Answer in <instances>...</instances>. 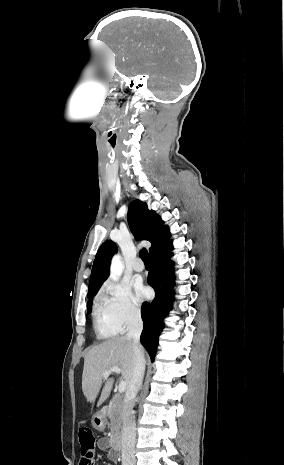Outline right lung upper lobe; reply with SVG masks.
Listing matches in <instances>:
<instances>
[{"instance_id":"cb5924a9","label":"right lung upper lobe","mask_w":284,"mask_h":465,"mask_svg":"<svg viewBox=\"0 0 284 465\" xmlns=\"http://www.w3.org/2000/svg\"><path fill=\"white\" fill-rule=\"evenodd\" d=\"M128 223L136 239L151 242L150 255L170 241L168 227L162 226L161 218L153 210L150 211L145 202L140 200L131 202L128 209ZM116 252L117 246L111 240L105 241L100 246L93 262L87 296L96 294L108 278L111 258Z\"/></svg>"}]
</instances>
